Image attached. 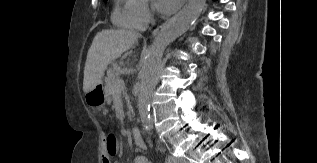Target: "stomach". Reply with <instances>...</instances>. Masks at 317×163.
Here are the masks:
<instances>
[{
	"instance_id": "obj_1",
	"label": "stomach",
	"mask_w": 317,
	"mask_h": 163,
	"mask_svg": "<svg viewBox=\"0 0 317 163\" xmlns=\"http://www.w3.org/2000/svg\"><path fill=\"white\" fill-rule=\"evenodd\" d=\"M85 100L91 107L104 106L108 100V94L103 84H98L90 92L86 93Z\"/></svg>"
}]
</instances>
